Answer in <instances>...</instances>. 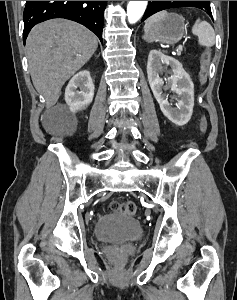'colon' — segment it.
I'll list each match as a JSON object with an SVG mask.
<instances>
[{"label": "colon", "instance_id": "1", "mask_svg": "<svg viewBox=\"0 0 237 300\" xmlns=\"http://www.w3.org/2000/svg\"><path fill=\"white\" fill-rule=\"evenodd\" d=\"M207 63H208V54L205 53L202 55L201 58V70H200V81L203 83L206 78L207 73ZM207 128V121L205 117L201 118L200 121V131L201 133H204ZM108 209L110 212H121L124 215L127 216H134L137 212V205L133 201H127L124 203H120L118 201H112L110 202Z\"/></svg>", "mask_w": 237, "mask_h": 300}]
</instances>
